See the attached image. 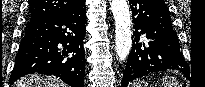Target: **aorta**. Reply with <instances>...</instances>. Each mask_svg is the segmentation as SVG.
<instances>
[{
	"label": "aorta",
	"mask_w": 205,
	"mask_h": 87,
	"mask_svg": "<svg viewBox=\"0 0 205 87\" xmlns=\"http://www.w3.org/2000/svg\"><path fill=\"white\" fill-rule=\"evenodd\" d=\"M111 10L115 20V49L120 61L130 53L132 47L131 19L126 0H111Z\"/></svg>",
	"instance_id": "obj_1"
}]
</instances>
